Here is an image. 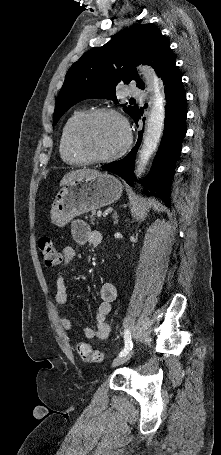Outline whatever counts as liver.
Segmentation results:
<instances>
[{
  "label": "liver",
  "instance_id": "6515ba94",
  "mask_svg": "<svg viewBox=\"0 0 221 455\" xmlns=\"http://www.w3.org/2000/svg\"><path fill=\"white\" fill-rule=\"evenodd\" d=\"M99 171L94 170V169H79L75 171H71L64 175L62 180L60 181V186H64L71 181L78 179V178H84V177H93L99 175Z\"/></svg>",
  "mask_w": 221,
  "mask_h": 455
}]
</instances>
